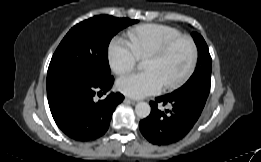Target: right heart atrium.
Instances as JSON below:
<instances>
[{
	"instance_id": "1",
	"label": "right heart atrium",
	"mask_w": 261,
	"mask_h": 162,
	"mask_svg": "<svg viewBox=\"0 0 261 162\" xmlns=\"http://www.w3.org/2000/svg\"><path fill=\"white\" fill-rule=\"evenodd\" d=\"M107 55L110 68L117 75L132 71L138 60L130 44L123 38H116L110 43Z\"/></svg>"
}]
</instances>
